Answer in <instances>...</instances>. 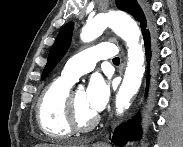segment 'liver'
Returning a JSON list of instances; mask_svg holds the SVG:
<instances>
[{
  "label": "liver",
  "instance_id": "6515ba94",
  "mask_svg": "<svg viewBox=\"0 0 183 147\" xmlns=\"http://www.w3.org/2000/svg\"><path fill=\"white\" fill-rule=\"evenodd\" d=\"M35 147H86V145L80 141H67L59 144H39Z\"/></svg>",
  "mask_w": 183,
  "mask_h": 147
}]
</instances>
